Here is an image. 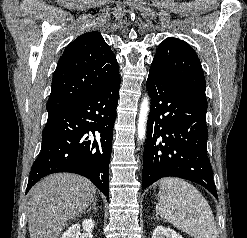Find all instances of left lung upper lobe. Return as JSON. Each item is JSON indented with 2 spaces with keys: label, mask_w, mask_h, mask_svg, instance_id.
<instances>
[{
  "label": "left lung upper lobe",
  "mask_w": 247,
  "mask_h": 238,
  "mask_svg": "<svg viewBox=\"0 0 247 238\" xmlns=\"http://www.w3.org/2000/svg\"><path fill=\"white\" fill-rule=\"evenodd\" d=\"M150 69L159 71L171 83L205 103V77L200 60L183 40L167 38L158 47Z\"/></svg>",
  "instance_id": "1"
}]
</instances>
